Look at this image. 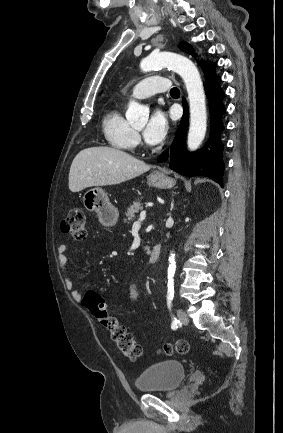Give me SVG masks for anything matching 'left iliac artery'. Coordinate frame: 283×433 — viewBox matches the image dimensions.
Here are the masks:
<instances>
[{"label":"left iliac artery","instance_id":"44dca946","mask_svg":"<svg viewBox=\"0 0 283 433\" xmlns=\"http://www.w3.org/2000/svg\"><path fill=\"white\" fill-rule=\"evenodd\" d=\"M173 297H174V288L173 287L168 288V292H167V305H168L169 310H171V308H172ZM177 323H179V321L174 317L173 321H172V326H171L172 329H174V328L177 327Z\"/></svg>","mask_w":283,"mask_h":433}]
</instances>
